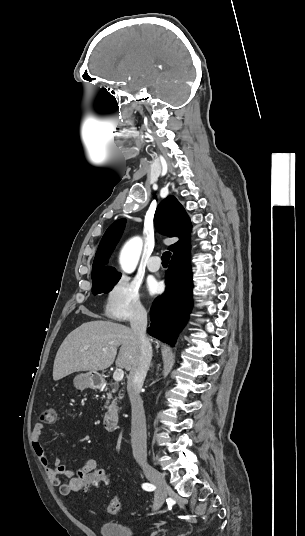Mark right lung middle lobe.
Here are the masks:
<instances>
[{
	"instance_id": "right-lung-middle-lobe-1",
	"label": "right lung middle lobe",
	"mask_w": 305,
	"mask_h": 536,
	"mask_svg": "<svg viewBox=\"0 0 305 536\" xmlns=\"http://www.w3.org/2000/svg\"><path fill=\"white\" fill-rule=\"evenodd\" d=\"M120 276L110 277V278H104V279H96L92 280V292L94 295L98 293H109L112 288L116 285V283L119 281Z\"/></svg>"
}]
</instances>
